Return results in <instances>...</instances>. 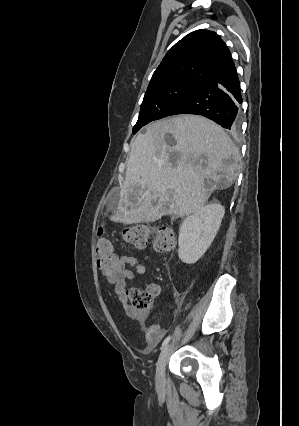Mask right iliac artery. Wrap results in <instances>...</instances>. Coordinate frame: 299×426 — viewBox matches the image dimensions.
<instances>
[{"instance_id":"right-iliac-artery-1","label":"right iliac artery","mask_w":299,"mask_h":426,"mask_svg":"<svg viewBox=\"0 0 299 426\" xmlns=\"http://www.w3.org/2000/svg\"><path fill=\"white\" fill-rule=\"evenodd\" d=\"M171 336H168L167 338H165V340L163 341L161 348H163L164 346H166L168 344V342L170 341Z\"/></svg>"}]
</instances>
